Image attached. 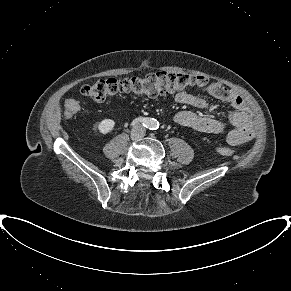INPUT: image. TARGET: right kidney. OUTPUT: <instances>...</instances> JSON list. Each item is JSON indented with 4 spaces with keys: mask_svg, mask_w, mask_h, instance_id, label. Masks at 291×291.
Instances as JSON below:
<instances>
[{
    "mask_svg": "<svg viewBox=\"0 0 291 291\" xmlns=\"http://www.w3.org/2000/svg\"><path fill=\"white\" fill-rule=\"evenodd\" d=\"M115 121L112 119H104L97 125V129L101 134H107L113 130Z\"/></svg>",
    "mask_w": 291,
    "mask_h": 291,
    "instance_id": "obj_1",
    "label": "right kidney"
}]
</instances>
